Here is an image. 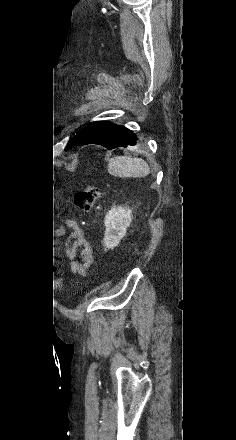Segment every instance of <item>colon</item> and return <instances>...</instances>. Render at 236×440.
I'll return each instance as SVG.
<instances>
[{"label":"colon","instance_id":"obj_1","mask_svg":"<svg viewBox=\"0 0 236 440\" xmlns=\"http://www.w3.org/2000/svg\"><path fill=\"white\" fill-rule=\"evenodd\" d=\"M99 197V189L92 184L81 187L74 194V204L82 211H90ZM47 285H60V276H47Z\"/></svg>","mask_w":236,"mask_h":440}]
</instances>
